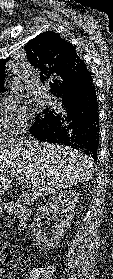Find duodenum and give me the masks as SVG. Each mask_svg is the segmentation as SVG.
Returning a JSON list of instances; mask_svg holds the SVG:
<instances>
[{
    "mask_svg": "<svg viewBox=\"0 0 113 279\" xmlns=\"http://www.w3.org/2000/svg\"><path fill=\"white\" fill-rule=\"evenodd\" d=\"M30 213L29 209L26 207H20L18 209V218H19V229L22 230L27 224Z\"/></svg>",
    "mask_w": 113,
    "mask_h": 279,
    "instance_id": "410a0bca",
    "label": "duodenum"
}]
</instances>
